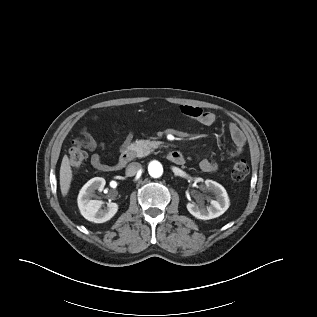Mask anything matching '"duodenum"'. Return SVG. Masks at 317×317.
<instances>
[{
    "label": "duodenum",
    "instance_id": "1",
    "mask_svg": "<svg viewBox=\"0 0 317 317\" xmlns=\"http://www.w3.org/2000/svg\"><path fill=\"white\" fill-rule=\"evenodd\" d=\"M167 158L174 164L182 165L185 162L184 156L180 151L173 150L167 154ZM135 159V153L132 150H125L121 154L119 160L113 166H109L107 171L123 169L128 163Z\"/></svg>",
    "mask_w": 317,
    "mask_h": 317
}]
</instances>
